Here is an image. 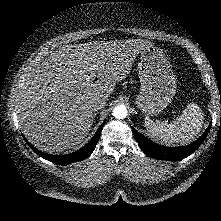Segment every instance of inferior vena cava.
<instances>
[{"instance_id": "602c4592", "label": "inferior vena cava", "mask_w": 221, "mask_h": 221, "mask_svg": "<svg viewBox=\"0 0 221 221\" xmlns=\"http://www.w3.org/2000/svg\"><path fill=\"white\" fill-rule=\"evenodd\" d=\"M105 106H106V101L100 98L94 101V103L92 104V110L93 111L100 110L104 108Z\"/></svg>"}]
</instances>
